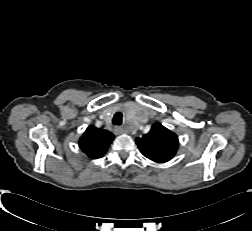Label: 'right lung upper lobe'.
I'll list each match as a JSON object with an SVG mask.
<instances>
[{
    "instance_id": "1",
    "label": "right lung upper lobe",
    "mask_w": 252,
    "mask_h": 231,
    "mask_svg": "<svg viewBox=\"0 0 252 231\" xmlns=\"http://www.w3.org/2000/svg\"><path fill=\"white\" fill-rule=\"evenodd\" d=\"M114 135L107 130L90 126L80 138V148L91 158H100L107 151Z\"/></svg>"
}]
</instances>
